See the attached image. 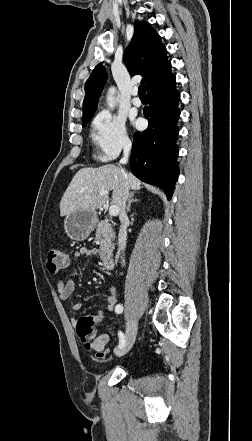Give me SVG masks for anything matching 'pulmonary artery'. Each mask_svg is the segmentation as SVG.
Returning <instances> with one entry per match:
<instances>
[{
	"label": "pulmonary artery",
	"instance_id": "e3ab8cb5",
	"mask_svg": "<svg viewBox=\"0 0 252 441\" xmlns=\"http://www.w3.org/2000/svg\"><path fill=\"white\" fill-rule=\"evenodd\" d=\"M132 95H133V97H132V104H133L134 106H136V107L141 106V100H140L139 97L137 96V90H136V89H134V90L132 91Z\"/></svg>",
	"mask_w": 252,
	"mask_h": 441
}]
</instances>
